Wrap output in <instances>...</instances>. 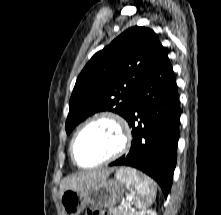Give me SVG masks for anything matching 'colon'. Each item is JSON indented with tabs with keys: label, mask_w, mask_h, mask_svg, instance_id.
<instances>
[{
	"label": "colon",
	"mask_w": 221,
	"mask_h": 215,
	"mask_svg": "<svg viewBox=\"0 0 221 215\" xmlns=\"http://www.w3.org/2000/svg\"><path fill=\"white\" fill-rule=\"evenodd\" d=\"M85 215H110L105 211H101L99 209H88Z\"/></svg>",
	"instance_id": "obj_1"
}]
</instances>
